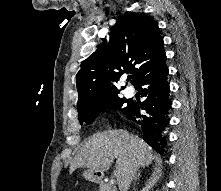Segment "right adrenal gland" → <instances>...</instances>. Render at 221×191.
Listing matches in <instances>:
<instances>
[{
    "mask_svg": "<svg viewBox=\"0 0 221 191\" xmlns=\"http://www.w3.org/2000/svg\"><path fill=\"white\" fill-rule=\"evenodd\" d=\"M140 176V174H138V177ZM135 179H137V177H135Z\"/></svg>",
    "mask_w": 221,
    "mask_h": 191,
    "instance_id": "right-adrenal-gland-1",
    "label": "right adrenal gland"
}]
</instances>
